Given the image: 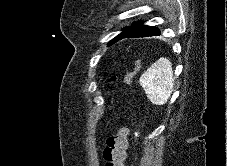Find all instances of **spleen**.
I'll return each instance as SVG.
<instances>
[{"label":"spleen","instance_id":"3e777b00","mask_svg":"<svg viewBox=\"0 0 227 166\" xmlns=\"http://www.w3.org/2000/svg\"><path fill=\"white\" fill-rule=\"evenodd\" d=\"M139 83L153 104L164 105L174 86L172 63L165 57L158 59L141 75Z\"/></svg>","mask_w":227,"mask_h":166}]
</instances>
